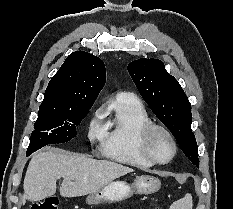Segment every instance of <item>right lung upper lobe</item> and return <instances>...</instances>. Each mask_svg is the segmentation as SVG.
<instances>
[{
	"mask_svg": "<svg viewBox=\"0 0 233 209\" xmlns=\"http://www.w3.org/2000/svg\"><path fill=\"white\" fill-rule=\"evenodd\" d=\"M106 80L103 61L84 51L70 54L50 80L40 113H61L93 105Z\"/></svg>",
	"mask_w": 233,
	"mask_h": 209,
	"instance_id": "right-lung-upper-lobe-1",
	"label": "right lung upper lobe"
}]
</instances>
